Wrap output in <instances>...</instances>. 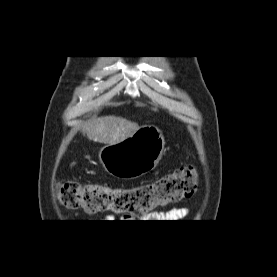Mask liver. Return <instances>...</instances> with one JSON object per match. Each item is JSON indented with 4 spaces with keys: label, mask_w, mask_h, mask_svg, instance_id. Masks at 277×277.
<instances>
[{
    "label": "liver",
    "mask_w": 277,
    "mask_h": 277,
    "mask_svg": "<svg viewBox=\"0 0 277 277\" xmlns=\"http://www.w3.org/2000/svg\"><path fill=\"white\" fill-rule=\"evenodd\" d=\"M137 123L126 119L106 116L88 120L81 128L82 133L95 142L104 144H116L130 137L139 130Z\"/></svg>",
    "instance_id": "obj_1"
}]
</instances>
